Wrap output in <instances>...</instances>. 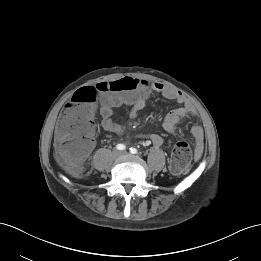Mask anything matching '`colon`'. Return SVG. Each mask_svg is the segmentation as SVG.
<instances>
[{"label": "colon", "instance_id": "colon-1", "mask_svg": "<svg viewBox=\"0 0 261 261\" xmlns=\"http://www.w3.org/2000/svg\"><path fill=\"white\" fill-rule=\"evenodd\" d=\"M149 86L150 83L147 81L125 77L117 81L100 82L94 87L87 86L78 89L71 100L80 108L70 111L62 123V130L67 137L62 141L59 149L60 163L72 174H78L81 171L82 162L91 144L87 123L100 94L110 95V98L132 97L138 89ZM192 158L190 144L184 140L179 141L171 154V170L175 173L185 172L189 168Z\"/></svg>", "mask_w": 261, "mask_h": 261}]
</instances>
